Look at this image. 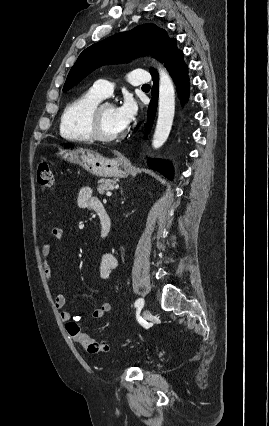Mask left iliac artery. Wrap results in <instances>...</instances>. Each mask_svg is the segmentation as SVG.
<instances>
[{
  "label": "left iliac artery",
  "mask_w": 269,
  "mask_h": 426,
  "mask_svg": "<svg viewBox=\"0 0 269 426\" xmlns=\"http://www.w3.org/2000/svg\"><path fill=\"white\" fill-rule=\"evenodd\" d=\"M134 306H135L136 308H138V309H141V308L144 306V300H143L142 298H139V299L135 302Z\"/></svg>",
  "instance_id": "1"
}]
</instances>
